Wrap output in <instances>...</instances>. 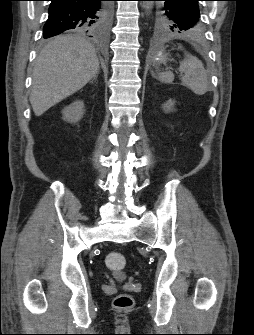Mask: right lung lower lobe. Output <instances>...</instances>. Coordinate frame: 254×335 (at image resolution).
<instances>
[{
    "label": "right lung lower lobe",
    "mask_w": 254,
    "mask_h": 335,
    "mask_svg": "<svg viewBox=\"0 0 254 335\" xmlns=\"http://www.w3.org/2000/svg\"><path fill=\"white\" fill-rule=\"evenodd\" d=\"M49 17L44 25V38L67 30H86L97 23L103 0H50Z\"/></svg>",
    "instance_id": "1"
}]
</instances>
